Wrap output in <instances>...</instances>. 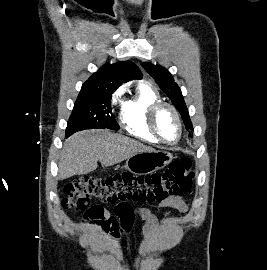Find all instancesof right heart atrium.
<instances>
[{"mask_svg": "<svg viewBox=\"0 0 267 270\" xmlns=\"http://www.w3.org/2000/svg\"><path fill=\"white\" fill-rule=\"evenodd\" d=\"M125 93V86H120L114 91L111 97L112 108H117L123 105V95Z\"/></svg>", "mask_w": 267, "mask_h": 270, "instance_id": "1", "label": "right heart atrium"}]
</instances>
